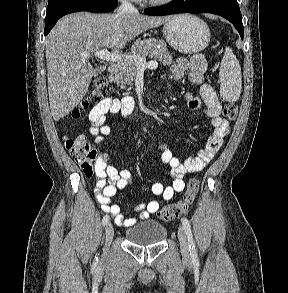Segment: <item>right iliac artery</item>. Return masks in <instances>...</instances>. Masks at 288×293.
I'll list each match as a JSON object with an SVG mask.
<instances>
[{"instance_id":"obj_1","label":"right iliac artery","mask_w":288,"mask_h":293,"mask_svg":"<svg viewBox=\"0 0 288 293\" xmlns=\"http://www.w3.org/2000/svg\"><path fill=\"white\" fill-rule=\"evenodd\" d=\"M109 221V216L108 215H105L102 219V224L103 225H106ZM98 261V258L96 257V262Z\"/></svg>"}]
</instances>
